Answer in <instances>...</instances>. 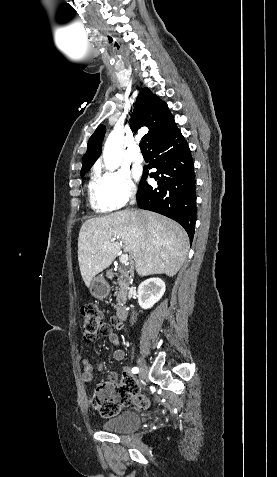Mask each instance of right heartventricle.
Masks as SVG:
<instances>
[{
  "label": "right heart ventricle",
  "instance_id": "right-heart-ventricle-1",
  "mask_svg": "<svg viewBox=\"0 0 277 477\" xmlns=\"http://www.w3.org/2000/svg\"><path fill=\"white\" fill-rule=\"evenodd\" d=\"M88 194L92 209L97 212H107L111 210L103 197L99 178L96 176H93L89 181Z\"/></svg>",
  "mask_w": 277,
  "mask_h": 477
}]
</instances>
